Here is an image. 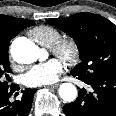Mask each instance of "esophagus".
I'll use <instances>...</instances> for the list:
<instances>
[{"label": "esophagus", "instance_id": "1", "mask_svg": "<svg viewBox=\"0 0 116 116\" xmlns=\"http://www.w3.org/2000/svg\"><path fill=\"white\" fill-rule=\"evenodd\" d=\"M58 86H59L58 83H57V84L48 85L49 88H56V87H58Z\"/></svg>", "mask_w": 116, "mask_h": 116}]
</instances>
